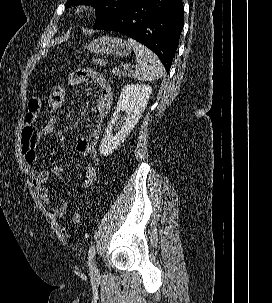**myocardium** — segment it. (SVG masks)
Wrapping results in <instances>:
<instances>
[{"mask_svg": "<svg viewBox=\"0 0 272 303\" xmlns=\"http://www.w3.org/2000/svg\"><path fill=\"white\" fill-rule=\"evenodd\" d=\"M91 10V6L88 5V4H82V5H79L75 8L74 10V14L75 16L77 17H82V16H85L87 15Z\"/></svg>", "mask_w": 272, "mask_h": 303, "instance_id": "myocardium-1", "label": "myocardium"}]
</instances>
